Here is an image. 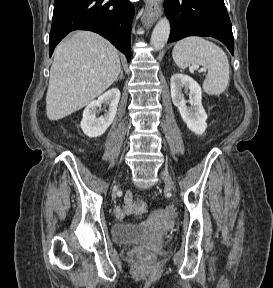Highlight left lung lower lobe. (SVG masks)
I'll return each instance as SVG.
<instances>
[{"mask_svg": "<svg viewBox=\"0 0 273 288\" xmlns=\"http://www.w3.org/2000/svg\"><path fill=\"white\" fill-rule=\"evenodd\" d=\"M165 13L171 24L168 42L187 36H211L233 55L232 26L224 0H165Z\"/></svg>", "mask_w": 273, "mask_h": 288, "instance_id": "obj_1", "label": "left lung lower lobe"}]
</instances>
